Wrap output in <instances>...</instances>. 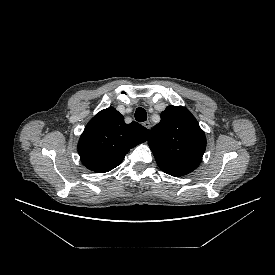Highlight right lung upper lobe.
<instances>
[{
	"instance_id": "right-lung-upper-lobe-1",
	"label": "right lung upper lobe",
	"mask_w": 275,
	"mask_h": 275,
	"mask_svg": "<svg viewBox=\"0 0 275 275\" xmlns=\"http://www.w3.org/2000/svg\"><path fill=\"white\" fill-rule=\"evenodd\" d=\"M150 131L109 107L100 111L85 127L78 142L81 162L91 171L105 173L117 167L128 151L148 139Z\"/></svg>"
}]
</instances>
